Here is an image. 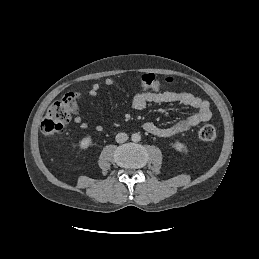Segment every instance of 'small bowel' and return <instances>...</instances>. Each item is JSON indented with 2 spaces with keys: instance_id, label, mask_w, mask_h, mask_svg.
I'll return each mask as SVG.
<instances>
[{
  "instance_id": "1",
  "label": "small bowel",
  "mask_w": 259,
  "mask_h": 259,
  "mask_svg": "<svg viewBox=\"0 0 259 259\" xmlns=\"http://www.w3.org/2000/svg\"><path fill=\"white\" fill-rule=\"evenodd\" d=\"M104 84L106 87H112L114 81L112 78H106ZM100 88V84L94 83L90 89L91 96H97ZM150 103H178L195 109V113L167 127H160L152 122L143 124V129L145 131L162 138L173 137L188 131L200 123L209 121L213 116L208 101L185 91L141 92L134 95L132 99V106L137 110L145 109ZM74 121L82 129L88 128V123L77 114L74 116ZM96 130L101 131L102 127L97 126Z\"/></svg>"
}]
</instances>
